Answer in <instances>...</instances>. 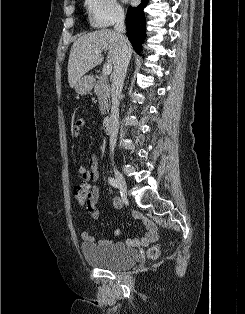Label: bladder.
Returning <instances> with one entry per match:
<instances>
[{
	"label": "bladder",
	"mask_w": 245,
	"mask_h": 314,
	"mask_svg": "<svg viewBox=\"0 0 245 314\" xmlns=\"http://www.w3.org/2000/svg\"><path fill=\"white\" fill-rule=\"evenodd\" d=\"M81 252L88 264L110 270L132 266L138 259V252L135 249L119 242L101 245L83 244Z\"/></svg>",
	"instance_id": "obj_1"
}]
</instances>
